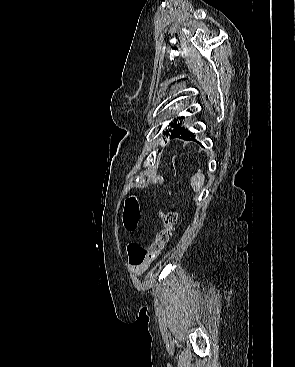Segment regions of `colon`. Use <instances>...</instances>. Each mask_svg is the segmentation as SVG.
Segmentation results:
<instances>
[{"instance_id":"colon-1","label":"colon","mask_w":295,"mask_h":367,"mask_svg":"<svg viewBox=\"0 0 295 367\" xmlns=\"http://www.w3.org/2000/svg\"><path fill=\"white\" fill-rule=\"evenodd\" d=\"M140 218V208L135 197L131 196L126 200L123 224L126 230L133 232L138 226ZM163 228L156 234L154 241L149 247L143 248L136 243H130L127 247L129 262L132 265H142L153 263L161 254L164 247L170 240L172 230L178 221V212L170 209L161 213Z\"/></svg>"}]
</instances>
